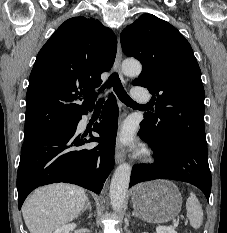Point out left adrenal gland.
<instances>
[{"label":"left adrenal gland","instance_id":"1","mask_svg":"<svg viewBox=\"0 0 227 233\" xmlns=\"http://www.w3.org/2000/svg\"><path fill=\"white\" fill-rule=\"evenodd\" d=\"M132 215L135 217H139V214L137 213V211L134 209V211L132 212Z\"/></svg>","mask_w":227,"mask_h":233}]
</instances>
